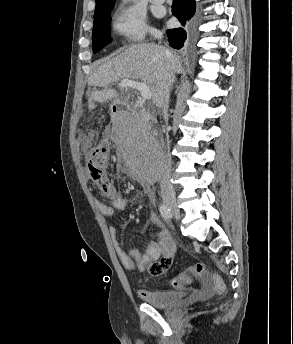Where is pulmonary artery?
<instances>
[{"label":"pulmonary artery","instance_id":"1","mask_svg":"<svg viewBox=\"0 0 293 344\" xmlns=\"http://www.w3.org/2000/svg\"><path fill=\"white\" fill-rule=\"evenodd\" d=\"M151 3H154V4H162L165 2V0H149Z\"/></svg>","mask_w":293,"mask_h":344}]
</instances>
